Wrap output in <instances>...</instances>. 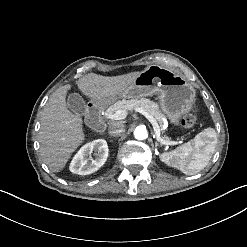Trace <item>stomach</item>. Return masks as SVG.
<instances>
[{
	"mask_svg": "<svg viewBox=\"0 0 247 247\" xmlns=\"http://www.w3.org/2000/svg\"><path fill=\"white\" fill-rule=\"evenodd\" d=\"M159 94L162 109L174 121L188 112L195 99V89L180 73L158 65H150L141 72L131 86L117 95H105L100 100L91 98L90 103L99 108L113 104L117 99H141Z\"/></svg>",
	"mask_w": 247,
	"mask_h": 247,
	"instance_id": "1",
	"label": "stomach"
}]
</instances>
